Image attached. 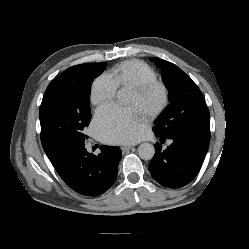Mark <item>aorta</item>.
I'll return each instance as SVG.
<instances>
[{"label": "aorta", "instance_id": "aorta-1", "mask_svg": "<svg viewBox=\"0 0 249 249\" xmlns=\"http://www.w3.org/2000/svg\"><path fill=\"white\" fill-rule=\"evenodd\" d=\"M127 94L124 89H120L117 92V99L119 102L123 103L126 101ZM155 148L152 144L148 142L141 143L138 147V155L143 160H151L154 157Z\"/></svg>", "mask_w": 249, "mask_h": 249}]
</instances>
